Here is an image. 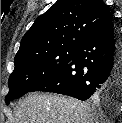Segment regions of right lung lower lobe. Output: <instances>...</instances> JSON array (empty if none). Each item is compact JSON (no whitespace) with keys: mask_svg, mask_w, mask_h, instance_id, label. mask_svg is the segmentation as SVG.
I'll use <instances>...</instances> for the list:
<instances>
[{"mask_svg":"<svg viewBox=\"0 0 122 123\" xmlns=\"http://www.w3.org/2000/svg\"><path fill=\"white\" fill-rule=\"evenodd\" d=\"M46 91L82 101L98 94L122 95V39L113 20L93 31L72 60L30 92Z\"/></svg>","mask_w":122,"mask_h":123,"instance_id":"1","label":"right lung lower lobe"}]
</instances>
